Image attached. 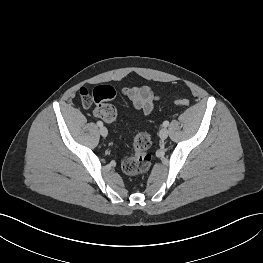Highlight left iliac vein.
Segmentation results:
<instances>
[{"mask_svg": "<svg viewBox=\"0 0 263 263\" xmlns=\"http://www.w3.org/2000/svg\"><path fill=\"white\" fill-rule=\"evenodd\" d=\"M169 131L166 127H163L160 132H159V136L162 140H165L168 137Z\"/></svg>", "mask_w": 263, "mask_h": 263, "instance_id": "4c4485c4", "label": "left iliac vein"}]
</instances>
